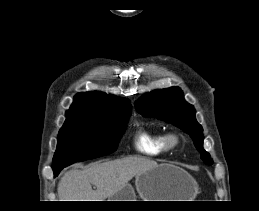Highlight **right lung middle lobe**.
I'll return each instance as SVG.
<instances>
[{
	"label": "right lung middle lobe",
	"instance_id": "dd1d6c3e",
	"mask_svg": "<svg viewBox=\"0 0 259 211\" xmlns=\"http://www.w3.org/2000/svg\"><path fill=\"white\" fill-rule=\"evenodd\" d=\"M130 114L91 115L74 113L58 134L53 171L58 172L77 161L110 154L117 149Z\"/></svg>",
	"mask_w": 259,
	"mask_h": 211
}]
</instances>
